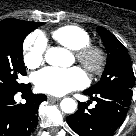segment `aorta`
<instances>
[{"mask_svg":"<svg viewBox=\"0 0 136 136\" xmlns=\"http://www.w3.org/2000/svg\"><path fill=\"white\" fill-rule=\"evenodd\" d=\"M45 60L48 64L53 66H68L71 62V56L67 50L52 47L45 53ZM60 108L65 113H74L77 104L72 98H65L60 103Z\"/></svg>","mask_w":136,"mask_h":136,"instance_id":"1","label":"aorta"}]
</instances>
